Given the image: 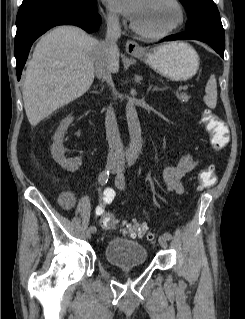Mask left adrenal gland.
<instances>
[{
    "label": "left adrenal gland",
    "instance_id": "a2214340",
    "mask_svg": "<svg viewBox=\"0 0 245 319\" xmlns=\"http://www.w3.org/2000/svg\"><path fill=\"white\" fill-rule=\"evenodd\" d=\"M152 88V85L150 86V89ZM164 88H159L158 86L153 87V91H162Z\"/></svg>",
    "mask_w": 245,
    "mask_h": 319
}]
</instances>
